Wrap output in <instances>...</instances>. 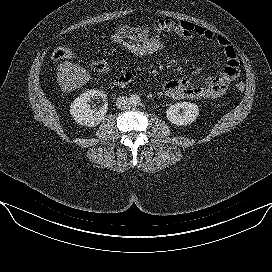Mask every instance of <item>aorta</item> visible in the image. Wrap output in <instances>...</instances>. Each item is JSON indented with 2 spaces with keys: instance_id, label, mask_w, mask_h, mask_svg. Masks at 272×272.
Here are the masks:
<instances>
[{
  "instance_id": "762f6f07",
  "label": "aorta",
  "mask_w": 272,
  "mask_h": 272,
  "mask_svg": "<svg viewBox=\"0 0 272 272\" xmlns=\"http://www.w3.org/2000/svg\"><path fill=\"white\" fill-rule=\"evenodd\" d=\"M130 102L132 106H137L141 102V98L138 95H132L130 97Z\"/></svg>"
}]
</instances>
